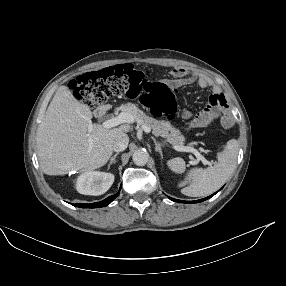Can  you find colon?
<instances>
[{
    "mask_svg": "<svg viewBox=\"0 0 286 286\" xmlns=\"http://www.w3.org/2000/svg\"><path fill=\"white\" fill-rule=\"evenodd\" d=\"M71 89L83 104L94 107L117 95L139 97L155 116L173 119L176 116L174 92L167 84L151 81L144 73L129 64L116 65L99 71L82 74L71 82ZM212 116L198 115L190 122H184L180 131L189 135L192 131H201L208 124L212 128L228 125L222 114Z\"/></svg>",
    "mask_w": 286,
    "mask_h": 286,
    "instance_id": "obj_1",
    "label": "colon"
}]
</instances>
